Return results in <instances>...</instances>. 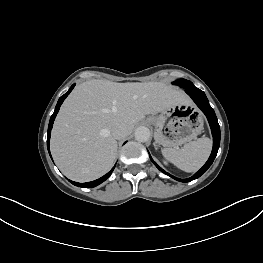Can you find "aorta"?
<instances>
[{"mask_svg":"<svg viewBox=\"0 0 263 263\" xmlns=\"http://www.w3.org/2000/svg\"><path fill=\"white\" fill-rule=\"evenodd\" d=\"M151 132L145 126H140L135 130V139L138 142H147L150 139Z\"/></svg>","mask_w":263,"mask_h":263,"instance_id":"762f6f07","label":"aorta"}]
</instances>
